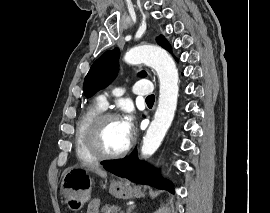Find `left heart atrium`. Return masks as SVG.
Segmentation results:
<instances>
[{"label": "left heart atrium", "mask_w": 270, "mask_h": 213, "mask_svg": "<svg viewBox=\"0 0 270 213\" xmlns=\"http://www.w3.org/2000/svg\"><path fill=\"white\" fill-rule=\"evenodd\" d=\"M120 121H121L122 127L124 129V132H125L128 140L130 141V139L132 138V135H133V131H134L133 117L130 114H126L122 117V119Z\"/></svg>", "instance_id": "left-heart-atrium-1"}]
</instances>
